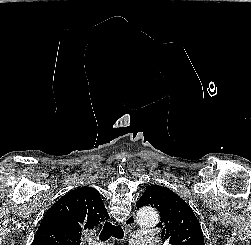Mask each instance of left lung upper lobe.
<instances>
[{"label":"left lung upper lobe","mask_w":251,"mask_h":245,"mask_svg":"<svg viewBox=\"0 0 251 245\" xmlns=\"http://www.w3.org/2000/svg\"><path fill=\"white\" fill-rule=\"evenodd\" d=\"M151 205L161 216L157 225L165 245H204L201 226L188 204L168 188L151 185L137 201V208Z\"/></svg>","instance_id":"5c2ea615"}]
</instances>
